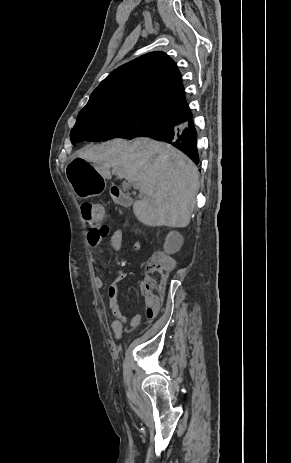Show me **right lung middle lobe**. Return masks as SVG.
<instances>
[{"instance_id":"1","label":"right lung middle lobe","mask_w":291,"mask_h":463,"mask_svg":"<svg viewBox=\"0 0 291 463\" xmlns=\"http://www.w3.org/2000/svg\"><path fill=\"white\" fill-rule=\"evenodd\" d=\"M165 125L164 118L146 112L88 108L79 112L70 137L73 144L84 140L133 139Z\"/></svg>"}]
</instances>
